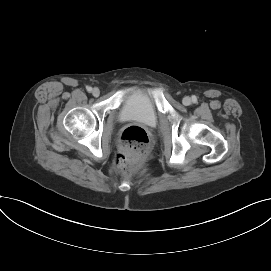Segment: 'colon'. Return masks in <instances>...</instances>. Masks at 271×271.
I'll list each match as a JSON object with an SVG mask.
<instances>
[{"mask_svg": "<svg viewBox=\"0 0 271 271\" xmlns=\"http://www.w3.org/2000/svg\"><path fill=\"white\" fill-rule=\"evenodd\" d=\"M149 147V136L145 129L130 126L125 129L120 139V150L116 158L118 167L131 172L143 163Z\"/></svg>", "mask_w": 271, "mask_h": 271, "instance_id": "1", "label": "colon"}]
</instances>
